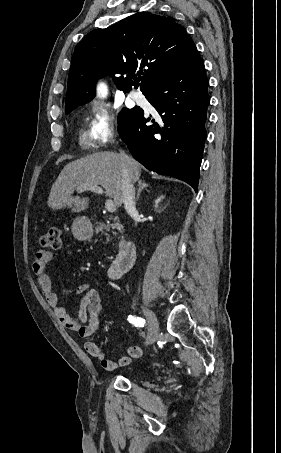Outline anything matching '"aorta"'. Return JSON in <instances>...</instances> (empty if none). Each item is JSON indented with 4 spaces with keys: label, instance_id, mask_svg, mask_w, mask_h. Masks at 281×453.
Returning a JSON list of instances; mask_svg holds the SVG:
<instances>
[{
    "label": "aorta",
    "instance_id": "obj_1",
    "mask_svg": "<svg viewBox=\"0 0 281 453\" xmlns=\"http://www.w3.org/2000/svg\"><path fill=\"white\" fill-rule=\"evenodd\" d=\"M107 94H108V88H107L106 84L103 83V82L98 83V85H97V95L100 98H106Z\"/></svg>",
    "mask_w": 281,
    "mask_h": 453
}]
</instances>
